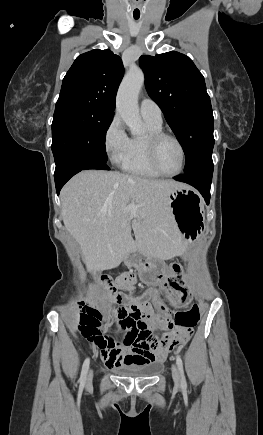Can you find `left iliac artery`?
Wrapping results in <instances>:
<instances>
[{
  "label": "left iliac artery",
  "instance_id": "1",
  "mask_svg": "<svg viewBox=\"0 0 263 435\" xmlns=\"http://www.w3.org/2000/svg\"><path fill=\"white\" fill-rule=\"evenodd\" d=\"M176 363H177V366H178V369H179V372H180L181 385H182V387H186L187 383H186V379H185V376H184L183 362H182V359L180 358V356L176 357Z\"/></svg>",
  "mask_w": 263,
  "mask_h": 435
}]
</instances>
